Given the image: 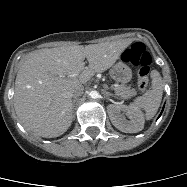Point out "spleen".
<instances>
[{
	"mask_svg": "<svg viewBox=\"0 0 187 187\" xmlns=\"http://www.w3.org/2000/svg\"><path fill=\"white\" fill-rule=\"evenodd\" d=\"M152 88L143 96L138 97L133 105L145 110L146 119H151L155 116L160 106L163 95L162 78L158 71L151 72Z\"/></svg>",
	"mask_w": 187,
	"mask_h": 187,
	"instance_id": "spleen-1",
	"label": "spleen"
}]
</instances>
